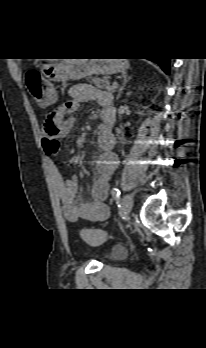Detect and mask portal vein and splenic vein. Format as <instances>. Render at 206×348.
<instances>
[{"label": "portal vein and splenic vein", "mask_w": 206, "mask_h": 348, "mask_svg": "<svg viewBox=\"0 0 206 348\" xmlns=\"http://www.w3.org/2000/svg\"><path fill=\"white\" fill-rule=\"evenodd\" d=\"M112 86L116 88V87H118V83H117V82H114V83L112 84Z\"/></svg>", "instance_id": "1"}]
</instances>
